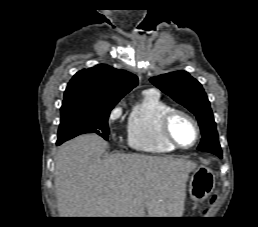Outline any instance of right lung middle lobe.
Wrapping results in <instances>:
<instances>
[{
    "mask_svg": "<svg viewBox=\"0 0 258 227\" xmlns=\"http://www.w3.org/2000/svg\"><path fill=\"white\" fill-rule=\"evenodd\" d=\"M115 105H95L78 100L63 101L57 141L64 142L85 133L108 140V117Z\"/></svg>",
    "mask_w": 258,
    "mask_h": 227,
    "instance_id": "dd1d6c3e",
    "label": "right lung middle lobe"
}]
</instances>
